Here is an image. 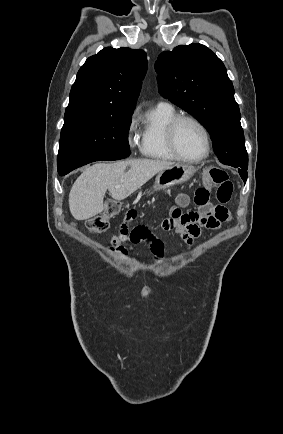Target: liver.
<instances>
[{"mask_svg":"<svg viewBox=\"0 0 283 434\" xmlns=\"http://www.w3.org/2000/svg\"><path fill=\"white\" fill-rule=\"evenodd\" d=\"M174 164L150 159L96 163L86 168L73 184L69 194L70 212L76 220H87L104 210L107 190L114 200H124L154 175Z\"/></svg>","mask_w":283,"mask_h":434,"instance_id":"liver-1","label":"liver"}]
</instances>
